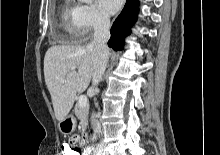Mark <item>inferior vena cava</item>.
Listing matches in <instances>:
<instances>
[{"instance_id":"obj_1","label":"inferior vena cava","mask_w":220,"mask_h":155,"mask_svg":"<svg viewBox=\"0 0 220 155\" xmlns=\"http://www.w3.org/2000/svg\"><path fill=\"white\" fill-rule=\"evenodd\" d=\"M109 28V15L105 13L100 14L94 26V39L91 44L94 53L92 87L89 88L91 96L95 94L94 87L101 81L109 59V50L107 46V41L110 38ZM94 133H101V125L97 120H95L94 123Z\"/></svg>"}]
</instances>
